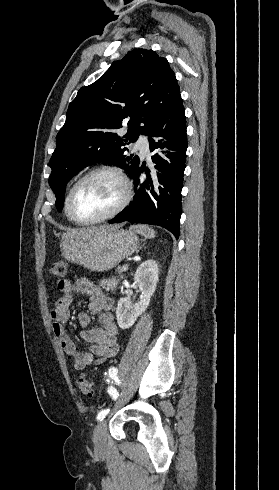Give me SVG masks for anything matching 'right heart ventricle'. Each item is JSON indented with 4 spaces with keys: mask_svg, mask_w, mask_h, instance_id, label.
<instances>
[{
    "mask_svg": "<svg viewBox=\"0 0 279 490\" xmlns=\"http://www.w3.org/2000/svg\"><path fill=\"white\" fill-rule=\"evenodd\" d=\"M75 181H72L69 183L66 192H65V197H64V205H63V212L65 217L67 218L68 221L73 222V219L71 218L70 211H69V201H70V194H71V189Z\"/></svg>",
    "mask_w": 279,
    "mask_h": 490,
    "instance_id": "e07e8e85",
    "label": "right heart ventricle"
}]
</instances>
